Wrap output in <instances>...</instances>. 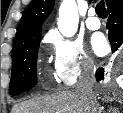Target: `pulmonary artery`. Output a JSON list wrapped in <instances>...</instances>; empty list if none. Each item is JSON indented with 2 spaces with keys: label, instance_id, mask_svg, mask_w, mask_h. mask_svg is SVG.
Instances as JSON below:
<instances>
[{
  "label": "pulmonary artery",
  "instance_id": "obj_1",
  "mask_svg": "<svg viewBox=\"0 0 123 113\" xmlns=\"http://www.w3.org/2000/svg\"><path fill=\"white\" fill-rule=\"evenodd\" d=\"M86 26L90 30H98L101 27L100 19L96 16L94 8H91L88 12V18L86 19Z\"/></svg>",
  "mask_w": 123,
  "mask_h": 113
}]
</instances>
